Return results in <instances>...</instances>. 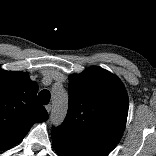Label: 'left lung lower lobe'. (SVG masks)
<instances>
[{"mask_svg": "<svg viewBox=\"0 0 156 156\" xmlns=\"http://www.w3.org/2000/svg\"><path fill=\"white\" fill-rule=\"evenodd\" d=\"M51 135H52L54 146L60 156H100L98 154L87 151L80 147H76L56 135L53 134Z\"/></svg>", "mask_w": 156, "mask_h": 156, "instance_id": "left-lung-lower-lobe-1", "label": "left lung lower lobe"}]
</instances>
